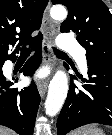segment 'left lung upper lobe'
Here are the masks:
<instances>
[{
  "label": "left lung upper lobe",
  "instance_id": "1",
  "mask_svg": "<svg viewBox=\"0 0 112 135\" xmlns=\"http://www.w3.org/2000/svg\"><path fill=\"white\" fill-rule=\"evenodd\" d=\"M63 4L68 16L61 32L73 31L86 49L87 64H112V15L101 0H51Z\"/></svg>",
  "mask_w": 112,
  "mask_h": 135
}]
</instances>
